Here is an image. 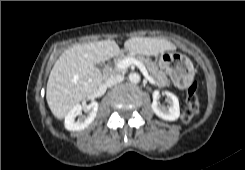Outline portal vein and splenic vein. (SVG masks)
<instances>
[{
  "label": "portal vein and splenic vein",
  "mask_w": 245,
  "mask_h": 170,
  "mask_svg": "<svg viewBox=\"0 0 245 170\" xmlns=\"http://www.w3.org/2000/svg\"><path fill=\"white\" fill-rule=\"evenodd\" d=\"M130 65H136L140 71L142 72V74L150 81L152 82L153 79L149 76L148 71L145 67V65L140 62L139 60L132 58V57H127L124 58L123 60H121L120 62H118L116 64V68L119 70H125L127 69Z\"/></svg>",
  "instance_id": "obj_1"
}]
</instances>
